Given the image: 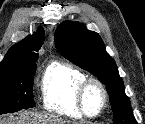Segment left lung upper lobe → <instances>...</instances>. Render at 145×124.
<instances>
[{
    "instance_id": "obj_1",
    "label": "left lung upper lobe",
    "mask_w": 145,
    "mask_h": 124,
    "mask_svg": "<svg viewBox=\"0 0 145 124\" xmlns=\"http://www.w3.org/2000/svg\"><path fill=\"white\" fill-rule=\"evenodd\" d=\"M55 46L65 58L106 85L114 112V124H137L115 61L106 52L96 32L87 30L84 24L63 22L56 30Z\"/></svg>"
}]
</instances>
